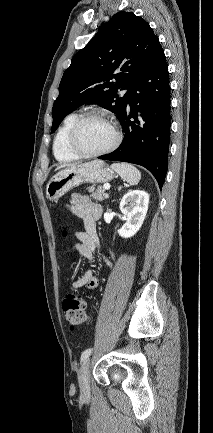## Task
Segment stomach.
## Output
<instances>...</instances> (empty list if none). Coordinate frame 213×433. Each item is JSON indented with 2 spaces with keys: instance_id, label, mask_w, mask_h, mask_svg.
<instances>
[{
  "instance_id": "1",
  "label": "stomach",
  "mask_w": 213,
  "mask_h": 433,
  "mask_svg": "<svg viewBox=\"0 0 213 433\" xmlns=\"http://www.w3.org/2000/svg\"><path fill=\"white\" fill-rule=\"evenodd\" d=\"M115 173L103 161L68 167L50 179L46 186V196L55 201L82 183H105L111 181Z\"/></svg>"
}]
</instances>
